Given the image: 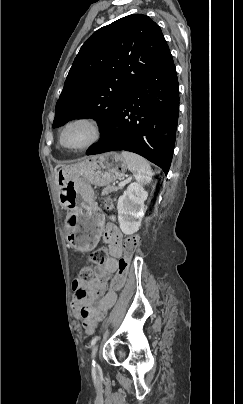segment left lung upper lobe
<instances>
[{
    "label": "left lung upper lobe",
    "instance_id": "obj_1",
    "mask_svg": "<svg viewBox=\"0 0 243 404\" xmlns=\"http://www.w3.org/2000/svg\"><path fill=\"white\" fill-rule=\"evenodd\" d=\"M170 54L160 27L146 15H129L100 28L73 62L53 127L94 118L103 129L136 84Z\"/></svg>",
    "mask_w": 243,
    "mask_h": 404
}]
</instances>
